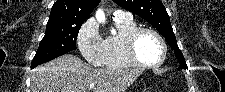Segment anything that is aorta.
<instances>
[{
	"mask_svg": "<svg viewBox=\"0 0 225 92\" xmlns=\"http://www.w3.org/2000/svg\"><path fill=\"white\" fill-rule=\"evenodd\" d=\"M96 18H97L98 22L105 23L106 18H105V14H104L103 10L98 9L96 11Z\"/></svg>",
	"mask_w": 225,
	"mask_h": 92,
	"instance_id": "aorta-1",
	"label": "aorta"
}]
</instances>
